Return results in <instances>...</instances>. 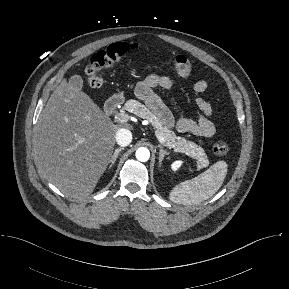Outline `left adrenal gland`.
Instances as JSON below:
<instances>
[{
	"mask_svg": "<svg viewBox=\"0 0 289 289\" xmlns=\"http://www.w3.org/2000/svg\"><path fill=\"white\" fill-rule=\"evenodd\" d=\"M160 151H159V166L161 167L162 161L166 155H169V152L164 150V148L159 145Z\"/></svg>",
	"mask_w": 289,
	"mask_h": 289,
	"instance_id": "left-adrenal-gland-1",
	"label": "left adrenal gland"
}]
</instances>
